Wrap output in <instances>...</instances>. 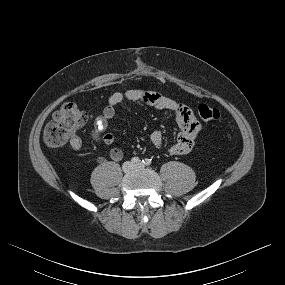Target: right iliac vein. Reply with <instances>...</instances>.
<instances>
[{
    "label": "right iliac vein",
    "mask_w": 285,
    "mask_h": 285,
    "mask_svg": "<svg viewBox=\"0 0 285 285\" xmlns=\"http://www.w3.org/2000/svg\"><path fill=\"white\" fill-rule=\"evenodd\" d=\"M134 167V165L132 164V162H125L123 165H122V170L124 172H129L130 170H132Z\"/></svg>",
    "instance_id": "63e3f726"
}]
</instances>
